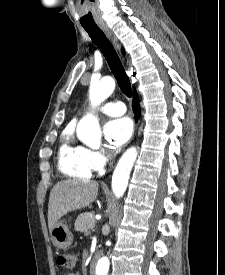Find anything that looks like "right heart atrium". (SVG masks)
Returning a JSON list of instances; mask_svg holds the SVG:
<instances>
[{"mask_svg": "<svg viewBox=\"0 0 225 275\" xmlns=\"http://www.w3.org/2000/svg\"><path fill=\"white\" fill-rule=\"evenodd\" d=\"M84 156L93 171L103 170L111 160V156L103 150L83 148Z\"/></svg>", "mask_w": 225, "mask_h": 275, "instance_id": "right-heart-atrium-1", "label": "right heart atrium"}]
</instances>
